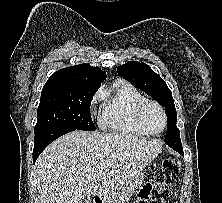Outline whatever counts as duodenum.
<instances>
[{
    "label": "duodenum",
    "instance_id": "duodenum-1",
    "mask_svg": "<svg viewBox=\"0 0 222 203\" xmlns=\"http://www.w3.org/2000/svg\"><path fill=\"white\" fill-rule=\"evenodd\" d=\"M96 203H102V199H98Z\"/></svg>",
    "mask_w": 222,
    "mask_h": 203
}]
</instances>
